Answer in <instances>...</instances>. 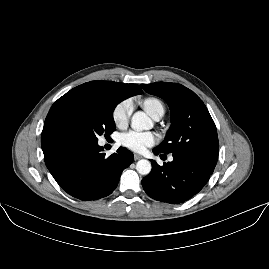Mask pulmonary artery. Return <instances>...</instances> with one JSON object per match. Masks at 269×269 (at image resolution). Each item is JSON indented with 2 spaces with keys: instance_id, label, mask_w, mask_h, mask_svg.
<instances>
[{
  "instance_id": "obj_1",
  "label": "pulmonary artery",
  "mask_w": 269,
  "mask_h": 269,
  "mask_svg": "<svg viewBox=\"0 0 269 269\" xmlns=\"http://www.w3.org/2000/svg\"><path fill=\"white\" fill-rule=\"evenodd\" d=\"M164 115V109L163 108H159L153 115L152 117L158 121L160 120ZM169 161H173V156L169 157Z\"/></svg>"
}]
</instances>
